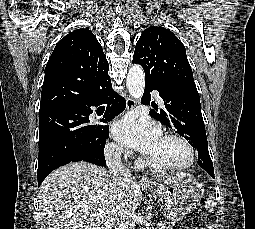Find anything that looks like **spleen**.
Wrapping results in <instances>:
<instances>
[{"label":"spleen","mask_w":255,"mask_h":229,"mask_svg":"<svg viewBox=\"0 0 255 229\" xmlns=\"http://www.w3.org/2000/svg\"><path fill=\"white\" fill-rule=\"evenodd\" d=\"M205 209L208 212H213L214 210V197L212 194H209L205 201Z\"/></svg>","instance_id":"obj_1"}]
</instances>
